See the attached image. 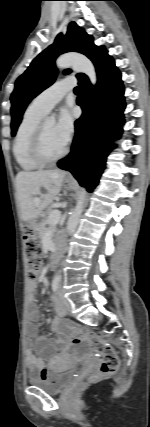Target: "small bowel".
<instances>
[{"label": "small bowel", "instance_id": "1", "mask_svg": "<svg viewBox=\"0 0 150 427\" xmlns=\"http://www.w3.org/2000/svg\"><path fill=\"white\" fill-rule=\"evenodd\" d=\"M28 292L30 299L26 317V334L28 337L25 350L26 364L32 374H37L40 378H47L49 374L59 366L62 360V357L56 356L55 353L58 351L64 352L70 346L68 331L66 330L68 322H62L65 309L60 304L59 300L55 296H52L56 316L51 322V327L53 330L59 332V336L56 338H48L40 334L38 323L41 315L33 299L37 292V284L35 281H30L28 283ZM34 348L49 358V363H46L43 358L36 356L33 352Z\"/></svg>", "mask_w": 150, "mask_h": 427}]
</instances>
